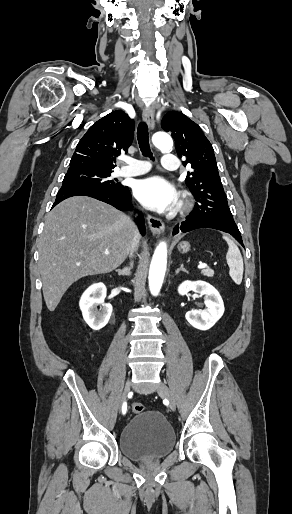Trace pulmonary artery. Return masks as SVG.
Here are the masks:
<instances>
[{
    "label": "pulmonary artery",
    "mask_w": 292,
    "mask_h": 514,
    "mask_svg": "<svg viewBox=\"0 0 292 514\" xmlns=\"http://www.w3.org/2000/svg\"><path fill=\"white\" fill-rule=\"evenodd\" d=\"M161 169L163 172H176L179 169V160L176 156H172L170 152H167L165 156L161 160ZM131 164L133 170L121 169V176H136L144 171H149L151 169V164L147 160L139 157H133L131 159Z\"/></svg>",
    "instance_id": "1"
}]
</instances>
